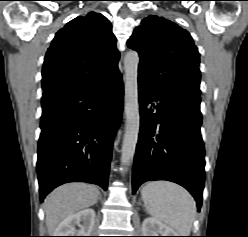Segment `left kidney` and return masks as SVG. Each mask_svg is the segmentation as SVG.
<instances>
[{
	"instance_id": "left-kidney-1",
	"label": "left kidney",
	"mask_w": 248,
	"mask_h": 237,
	"mask_svg": "<svg viewBox=\"0 0 248 237\" xmlns=\"http://www.w3.org/2000/svg\"><path fill=\"white\" fill-rule=\"evenodd\" d=\"M142 233L143 236H178L172 228L153 217L143 221Z\"/></svg>"
}]
</instances>
